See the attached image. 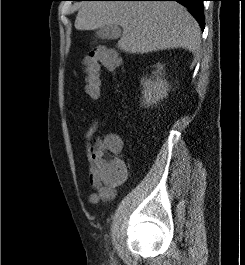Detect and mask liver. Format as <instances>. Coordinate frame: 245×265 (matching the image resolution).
<instances>
[{"mask_svg": "<svg viewBox=\"0 0 245 265\" xmlns=\"http://www.w3.org/2000/svg\"><path fill=\"white\" fill-rule=\"evenodd\" d=\"M75 20L77 30L120 25L118 48L127 53L184 48L193 53L201 31L188 10L173 1H85Z\"/></svg>", "mask_w": 245, "mask_h": 265, "instance_id": "obj_1", "label": "liver"}]
</instances>
